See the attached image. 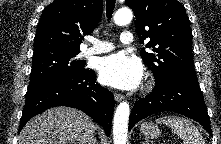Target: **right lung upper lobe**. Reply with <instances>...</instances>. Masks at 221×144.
I'll list each match as a JSON object with an SVG mask.
<instances>
[{"mask_svg":"<svg viewBox=\"0 0 221 144\" xmlns=\"http://www.w3.org/2000/svg\"><path fill=\"white\" fill-rule=\"evenodd\" d=\"M102 0H55L40 18L34 53L46 50L80 52L83 35L93 32L102 15Z\"/></svg>","mask_w":221,"mask_h":144,"instance_id":"right-lung-upper-lobe-1","label":"right lung upper lobe"}]
</instances>
